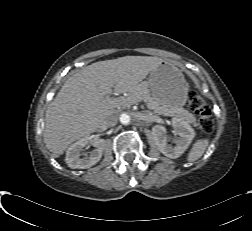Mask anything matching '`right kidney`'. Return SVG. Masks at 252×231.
Returning <instances> with one entry per match:
<instances>
[{"label":"right kidney","instance_id":"right-kidney-1","mask_svg":"<svg viewBox=\"0 0 252 231\" xmlns=\"http://www.w3.org/2000/svg\"><path fill=\"white\" fill-rule=\"evenodd\" d=\"M89 140L90 138L85 136L67 149L65 161L70 168L86 169L92 167L100 161L106 146V141L104 139L94 141L92 143L94 149L90 152V154H86L81 157V152L83 151V148L89 144Z\"/></svg>","mask_w":252,"mask_h":231}]
</instances>
